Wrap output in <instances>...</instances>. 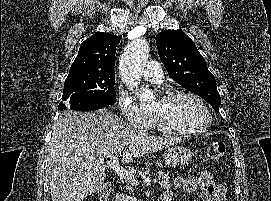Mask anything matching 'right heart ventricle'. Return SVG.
Here are the masks:
<instances>
[{"label":"right heart ventricle","instance_id":"e07e8e85","mask_svg":"<svg viewBox=\"0 0 271 201\" xmlns=\"http://www.w3.org/2000/svg\"><path fill=\"white\" fill-rule=\"evenodd\" d=\"M150 128H151L152 130H154V129H158V130H159V127H158L157 124H155L154 122H153V124L150 126Z\"/></svg>","mask_w":271,"mask_h":201}]
</instances>
